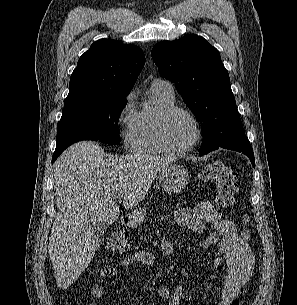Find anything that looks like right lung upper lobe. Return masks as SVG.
<instances>
[{
	"mask_svg": "<svg viewBox=\"0 0 297 305\" xmlns=\"http://www.w3.org/2000/svg\"><path fill=\"white\" fill-rule=\"evenodd\" d=\"M144 64L145 56L139 47L100 39L78 60L64 103L127 97Z\"/></svg>",
	"mask_w": 297,
	"mask_h": 305,
	"instance_id": "obj_1",
	"label": "right lung upper lobe"
}]
</instances>
